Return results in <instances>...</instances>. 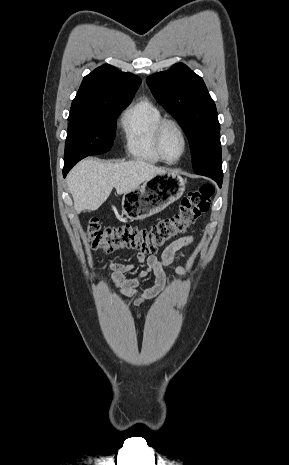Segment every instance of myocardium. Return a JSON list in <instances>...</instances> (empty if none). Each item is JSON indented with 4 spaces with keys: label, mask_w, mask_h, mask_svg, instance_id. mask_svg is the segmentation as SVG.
<instances>
[{
    "label": "myocardium",
    "mask_w": 289,
    "mask_h": 465,
    "mask_svg": "<svg viewBox=\"0 0 289 465\" xmlns=\"http://www.w3.org/2000/svg\"><path fill=\"white\" fill-rule=\"evenodd\" d=\"M168 126H173L177 129V131L179 132L181 138H182V141H183V150L181 152V154L174 160H171L169 158L166 157L164 151H163V137H164V133H165V130ZM154 143H155V148H156V151L159 155V157L162 159V161L166 162V163H169V164H174V163H177L186 153L187 149H188V137H187V134L183 128V126L176 120V119H173V118H162L157 126H156V129H155V135H154Z\"/></svg>",
    "instance_id": "f54148a6"
}]
</instances>
